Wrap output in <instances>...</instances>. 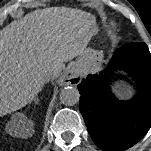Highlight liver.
Here are the masks:
<instances>
[{
  "mask_svg": "<svg viewBox=\"0 0 151 151\" xmlns=\"http://www.w3.org/2000/svg\"><path fill=\"white\" fill-rule=\"evenodd\" d=\"M95 17L79 9L36 10L0 30V117L30 103L64 62L84 56ZM28 126L26 136H31Z\"/></svg>",
  "mask_w": 151,
  "mask_h": 151,
  "instance_id": "liver-1",
  "label": "liver"
}]
</instances>
